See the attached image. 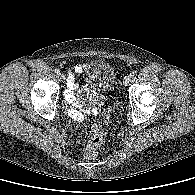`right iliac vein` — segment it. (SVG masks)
<instances>
[{"label": "right iliac vein", "instance_id": "obj_1", "mask_svg": "<svg viewBox=\"0 0 195 195\" xmlns=\"http://www.w3.org/2000/svg\"><path fill=\"white\" fill-rule=\"evenodd\" d=\"M58 77H59V79H60L61 81H65V80H66V77H65V75H64L63 73H59V74H58Z\"/></svg>", "mask_w": 195, "mask_h": 195}]
</instances>
